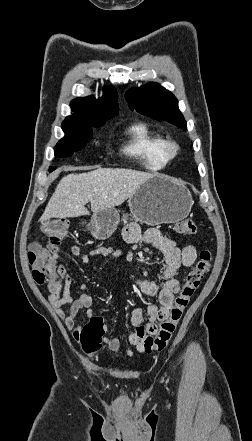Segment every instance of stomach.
I'll return each mask as SVG.
<instances>
[{"mask_svg": "<svg viewBox=\"0 0 252 441\" xmlns=\"http://www.w3.org/2000/svg\"><path fill=\"white\" fill-rule=\"evenodd\" d=\"M192 205L189 190L164 175L147 179L128 200L131 215L148 225L179 222L188 216ZM127 219V214L120 217L114 208L104 209L93 214L87 228L95 239L105 240L117 229L120 220L126 223Z\"/></svg>", "mask_w": 252, "mask_h": 441, "instance_id": "stomach-1", "label": "stomach"}]
</instances>
